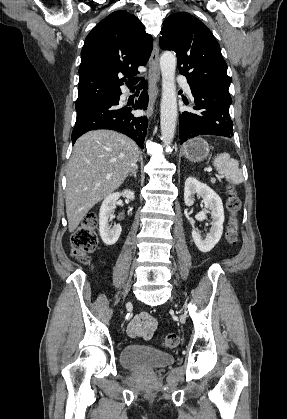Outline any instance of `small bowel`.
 I'll return each instance as SVG.
<instances>
[{"label":"small bowel","mask_w":287,"mask_h":419,"mask_svg":"<svg viewBox=\"0 0 287 419\" xmlns=\"http://www.w3.org/2000/svg\"><path fill=\"white\" fill-rule=\"evenodd\" d=\"M157 328V321L148 312H140L130 321L127 332L132 338H143L148 340L152 337Z\"/></svg>","instance_id":"1"}]
</instances>
